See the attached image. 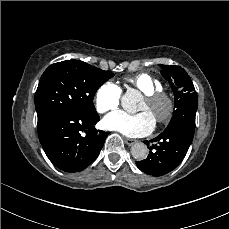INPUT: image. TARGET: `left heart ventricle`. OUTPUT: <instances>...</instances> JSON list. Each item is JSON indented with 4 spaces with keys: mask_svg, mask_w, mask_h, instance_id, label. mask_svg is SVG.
Listing matches in <instances>:
<instances>
[{
    "mask_svg": "<svg viewBox=\"0 0 229 229\" xmlns=\"http://www.w3.org/2000/svg\"><path fill=\"white\" fill-rule=\"evenodd\" d=\"M140 110L150 113L153 117L155 114L162 112V106H151L145 99L140 107Z\"/></svg>",
    "mask_w": 229,
    "mask_h": 229,
    "instance_id": "obj_1",
    "label": "left heart ventricle"
}]
</instances>
